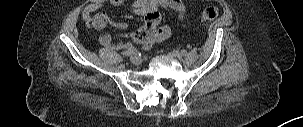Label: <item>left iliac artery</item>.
<instances>
[{
  "label": "left iliac artery",
  "mask_w": 303,
  "mask_h": 127,
  "mask_svg": "<svg viewBox=\"0 0 303 127\" xmlns=\"http://www.w3.org/2000/svg\"><path fill=\"white\" fill-rule=\"evenodd\" d=\"M180 54H181L182 56H186L187 51L183 49V50L180 51Z\"/></svg>",
  "instance_id": "obj_1"
}]
</instances>
